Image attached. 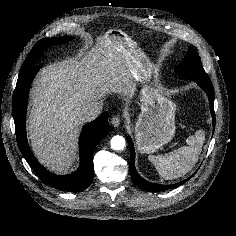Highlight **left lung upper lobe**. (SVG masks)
<instances>
[{
    "label": "left lung upper lobe",
    "mask_w": 236,
    "mask_h": 236,
    "mask_svg": "<svg viewBox=\"0 0 236 236\" xmlns=\"http://www.w3.org/2000/svg\"><path fill=\"white\" fill-rule=\"evenodd\" d=\"M177 73L183 78L190 80L208 79L197 52L189 48L187 56L180 63Z\"/></svg>",
    "instance_id": "obj_1"
}]
</instances>
